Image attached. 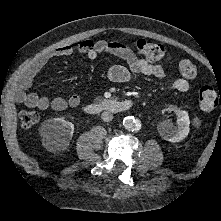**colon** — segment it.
<instances>
[{
	"label": "colon",
	"instance_id": "1",
	"mask_svg": "<svg viewBox=\"0 0 221 221\" xmlns=\"http://www.w3.org/2000/svg\"><path fill=\"white\" fill-rule=\"evenodd\" d=\"M139 54L151 62L166 58L164 47L159 43L139 39L136 41ZM179 72L186 79H195L198 76V67L192 60L183 59L179 62ZM221 103V96L210 86H203L199 91V105L203 111H210ZM20 124L23 128H33L39 121V114L34 110H25L20 114Z\"/></svg>",
	"mask_w": 221,
	"mask_h": 221
}]
</instances>
